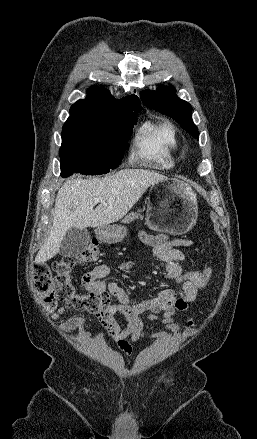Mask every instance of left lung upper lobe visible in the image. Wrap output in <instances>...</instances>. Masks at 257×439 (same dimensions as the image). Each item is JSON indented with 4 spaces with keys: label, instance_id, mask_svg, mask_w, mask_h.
I'll return each instance as SVG.
<instances>
[{
    "label": "left lung upper lobe",
    "instance_id": "obj_1",
    "mask_svg": "<svg viewBox=\"0 0 257 439\" xmlns=\"http://www.w3.org/2000/svg\"><path fill=\"white\" fill-rule=\"evenodd\" d=\"M140 97L145 106L172 117L194 138H199L198 129L192 122V107L177 97L173 86H161L156 91H142Z\"/></svg>",
    "mask_w": 257,
    "mask_h": 439
}]
</instances>
